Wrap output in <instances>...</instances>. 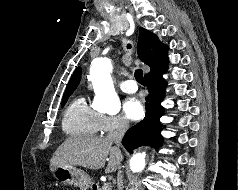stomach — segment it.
I'll return each mask as SVG.
<instances>
[{
    "label": "stomach",
    "mask_w": 238,
    "mask_h": 190,
    "mask_svg": "<svg viewBox=\"0 0 238 190\" xmlns=\"http://www.w3.org/2000/svg\"><path fill=\"white\" fill-rule=\"evenodd\" d=\"M53 176L61 183L74 185L81 190H87L93 184L92 179L86 172L71 165L56 167Z\"/></svg>",
    "instance_id": "0dacf381"
}]
</instances>
